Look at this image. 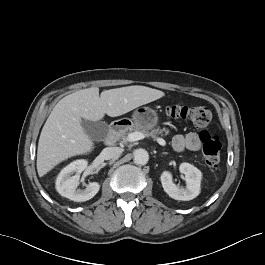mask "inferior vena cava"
<instances>
[{
  "label": "inferior vena cava",
  "mask_w": 265,
  "mask_h": 265,
  "mask_svg": "<svg viewBox=\"0 0 265 265\" xmlns=\"http://www.w3.org/2000/svg\"><path fill=\"white\" fill-rule=\"evenodd\" d=\"M122 152H123V149L122 148H119V147H107V148H104L102 150L101 156L105 160H110V159L116 158Z\"/></svg>",
  "instance_id": "1"
}]
</instances>
